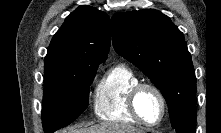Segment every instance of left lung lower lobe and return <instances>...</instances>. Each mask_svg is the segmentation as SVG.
I'll return each mask as SVG.
<instances>
[{"mask_svg": "<svg viewBox=\"0 0 221 133\" xmlns=\"http://www.w3.org/2000/svg\"><path fill=\"white\" fill-rule=\"evenodd\" d=\"M180 133H195V130H192V131H186V132H180Z\"/></svg>", "mask_w": 221, "mask_h": 133, "instance_id": "obj_1", "label": "left lung lower lobe"}]
</instances>
